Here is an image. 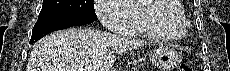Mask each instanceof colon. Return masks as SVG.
Here are the masks:
<instances>
[{
	"label": "colon",
	"instance_id": "obj_1",
	"mask_svg": "<svg viewBox=\"0 0 230 71\" xmlns=\"http://www.w3.org/2000/svg\"><path fill=\"white\" fill-rule=\"evenodd\" d=\"M179 71H193V68L189 65H180Z\"/></svg>",
	"mask_w": 230,
	"mask_h": 71
}]
</instances>
